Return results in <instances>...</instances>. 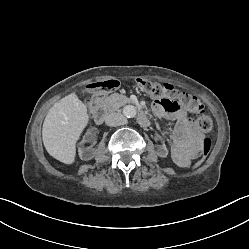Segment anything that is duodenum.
I'll return each mask as SVG.
<instances>
[{
	"instance_id": "duodenum-1",
	"label": "duodenum",
	"mask_w": 249,
	"mask_h": 249,
	"mask_svg": "<svg viewBox=\"0 0 249 249\" xmlns=\"http://www.w3.org/2000/svg\"><path fill=\"white\" fill-rule=\"evenodd\" d=\"M106 107L104 105L99 106L93 113V118L96 123H103L105 120ZM138 122L141 126H148L149 120L144 111L140 110L138 114Z\"/></svg>"
}]
</instances>
